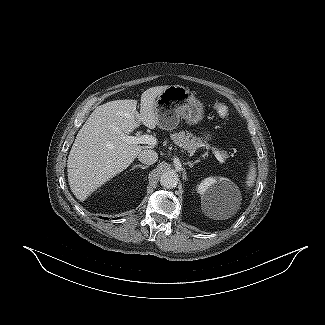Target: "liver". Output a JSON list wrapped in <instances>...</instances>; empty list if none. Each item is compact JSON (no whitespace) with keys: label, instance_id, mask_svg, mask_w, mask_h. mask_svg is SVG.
<instances>
[{"label":"liver","instance_id":"liver-1","mask_svg":"<svg viewBox=\"0 0 325 325\" xmlns=\"http://www.w3.org/2000/svg\"><path fill=\"white\" fill-rule=\"evenodd\" d=\"M168 86L151 87L141 95L140 115L136 100H115L95 108L86 120L67 160L68 182L75 197L84 201L98 187L126 169L142 150L152 146L129 144L123 136L140 122L154 129L157 119L155 99Z\"/></svg>","mask_w":325,"mask_h":325}]
</instances>
